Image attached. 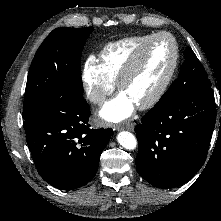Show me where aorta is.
Returning <instances> with one entry per match:
<instances>
[{
	"label": "aorta",
	"mask_w": 221,
	"mask_h": 221,
	"mask_svg": "<svg viewBox=\"0 0 221 221\" xmlns=\"http://www.w3.org/2000/svg\"><path fill=\"white\" fill-rule=\"evenodd\" d=\"M118 143L128 150H133L137 145V140L135 136L128 132V131H122L117 136Z\"/></svg>",
	"instance_id": "1"
}]
</instances>
